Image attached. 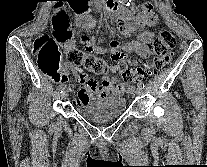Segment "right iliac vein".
Instances as JSON below:
<instances>
[{
	"instance_id": "63e3f726",
	"label": "right iliac vein",
	"mask_w": 207,
	"mask_h": 167,
	"mask_svg": "<svg viewBox=\"0 0 207 167\" xmlns=\"http://www.w3.org/2000/svg\"><path fill=\"white\" fill-rule=\"evenodd\" d=\"M67 96V91L64 90L63 92H61V98L65 99V97Z\"/></svg>"
}]
</instances>
